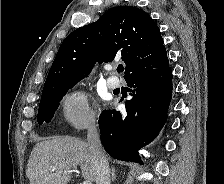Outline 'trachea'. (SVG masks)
<instances>
[{
  "mask_svg": "<svg viewBox=\"0 0 224 184\" xmlns=\"http://www.w3.org/2000/svg\"><path fill=\"white\" fill-rule=\"evenodd\" d=\"M117 71H118V72H123V71H124V67H123V65H119V66L117 67Z\"/></svg>",
  "mask_w": 224,
  "mask_h": 184,
  "instance_id": "trachea-1",
  "label": "trachea"
}]
</instances>
